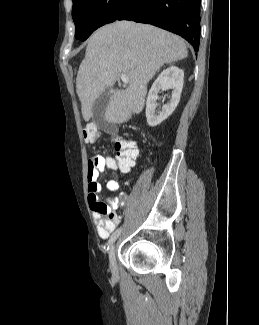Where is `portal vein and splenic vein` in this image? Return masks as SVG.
I'll list each match as a JSON object with an SVG mask.
<instances>
[{"mask_svg":"<svg viewBox=\"0 0 259 325\" xmlns=\"http://www.w3.org/2000/svg\"><path fill=\"white\" fill-rule=\"evenodd\" d=\"M120 79H121L124 83H129V82H130L128 76L125 75V74L120 75Z\"/></svg>","mask_w":259,"mask_h":325,"instance_id":"1","label":"portal vein and splenic vein"}]
</instances>
